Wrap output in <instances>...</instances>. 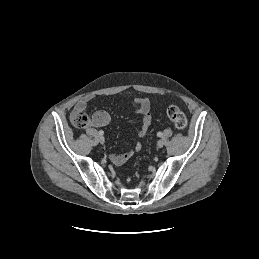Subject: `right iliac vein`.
Returning a JSON list of instances; mask_svg holds the SVG:
<instances>
[{
    "instance_id": "1",
    "label": "right iliac vein",
    "mask_w": 259,
    "mask_h": 259,
    "mask_svg": "<svg viewBox=\"0 0 259 259\" xmlns=\"http://www.w3.org/2000/svg\"><path fill=\"white\" fill-rule=\"evenodd\" d=\"M99 142L101 144H104V142H105V139H104V137L102 135L99 136Z\"/></svg>"
}]
</instances>
